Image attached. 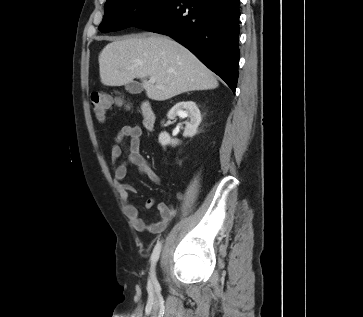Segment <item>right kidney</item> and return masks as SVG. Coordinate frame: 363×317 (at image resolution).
<instances>
[{
    "instance_id": "ca27d5eb",
    "label": "right kidney",
    "mask_w": 363,
    "mask_h": 317,
    "mask_svg": "<svg viewBox=\"0 0 363 317\" xmlns=\"http://www.w3.org/2000/svg\"><path fill=\"white\" fill-rule=\"evenodd\" d=\"M176 116L180 118H190L189 122H186L185 131L183 133L184 137H193L197 133V128L201 122L200 111L193 101H182L174 105L168 112V119H174ZM159 143L162 146L171 144L176 146L179 141L177 139H172L167 132H161L159 135Z\"/></svg>"
}]
</instances>
